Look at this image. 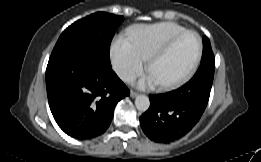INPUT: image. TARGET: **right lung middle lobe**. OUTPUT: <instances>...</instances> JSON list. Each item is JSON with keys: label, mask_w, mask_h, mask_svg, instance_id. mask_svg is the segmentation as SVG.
Returning a JSON list of instances; mask_svg holds the SVG:
<instances>
[{"label": "right lung middle lobe", "mask_w": 261, "mask_h": 162, "mask_svg": "<svg viewBox=\"0 0 261 162\" xmlns=\"http://www.w3.org/2000/svg\"><path fill=\"white\" fill-rule=\"evenodd\" d=\"M122 16L97 12L70 25L60 35L51 55L90 48L109 56V47Z\"/></svg>", "instance_id": "obj_1"}]
</instances>
